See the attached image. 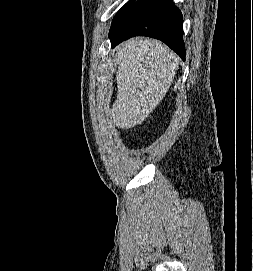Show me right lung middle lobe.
<instances>
[{"instance_id": "right-lung-middle-lobe-1", "label": "right lung middle lobe", "mask_w": 253, "mask_h": 271, "mask_svg": "<svg viewBox=\"0 0 253 271\" xmlns=\"http://www.w3.org/2000/svg\"><path fill=\"white\" fill-rule=\"evenodd\" d=\"M134 4V0L130 1L129 3H127L114 17L112 24H111V28L110 31H113L114 29H116L118 27V25L120 24V22L123 20V18L126 16V14L129 12V10L131 9V7Z\"/></svg>"}]
</instances>
